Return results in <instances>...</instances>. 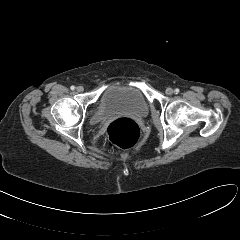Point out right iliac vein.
<instances>
[{
    "label": "right iliac vein",
    "mask_w": 240,
    "mask_h": 240,
    "mask_svg": "<svg viewBox=\"0 0 240 240\" xmlns=\"http://www.w3.org/2000/svg\"><path fill=\"white\" fill-rule=\"evenodd\" d=\"M76 91L79 92V93H81V92L84 91V88H83L82 86H78V87L76 88Z\"/></svg>",
    "instance_id": "63e3f726"
}]
</instances>
